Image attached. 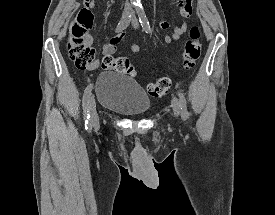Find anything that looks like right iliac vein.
<instances>
[{"label":"right iliac vein","mask_w":275,"mask_h":215,"mask_svg":"<svg viewBox=\"0 0 275 215\" xmlns=\"http://www.w3.org/2000/svg\"><path fill=\"white\" fill-rule=\"evenodd\" d=\"M88 110L91 117L92 125H97L99 121V117L96 110V101L93 96H91L89 99Z\"/></svg>","instance_id":"1"}]
</instances>
